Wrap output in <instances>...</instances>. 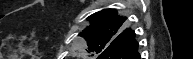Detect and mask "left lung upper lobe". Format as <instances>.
<instances>
[{
    "label": "left lung upper lobe",
    "mask_w": 193,
    "mask_h": 59,
    "mask_svg": "<svg viewBox=\"0 0 193 59\" xmlns=\"http://www.w3.org/2000/svg\"><path fill=\"white\" fill-rule=\"evenodd\" d=\"M92 23L79 33L87 41L88 51L102 54L108 47L113 46L120 39L126 26V17L117 16L116 10L104 9L87 18ZM99 55V56H100Z\"/></svg>",
    "instance_id": "left-lung-upper-lobe-1"
}]
</instances>
